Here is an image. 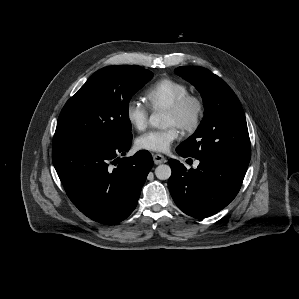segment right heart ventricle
<instances>
[{"label": "right heart ventricle", "instance_id": "obj_1", "mask_svg": "<svg viewBox=\"0 0 299 299\" xmlns=\"http://www.w3.org/2000/svg\"><path fill=\"white\" fill-rule=\"evenodd\" d=\"M188 93L189 87L185 83L172 78H163L146 89L145 98L152 110H166Z\"/></svg>", "mask_w": 299, "mask_h": 299}]
</instances>
